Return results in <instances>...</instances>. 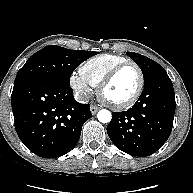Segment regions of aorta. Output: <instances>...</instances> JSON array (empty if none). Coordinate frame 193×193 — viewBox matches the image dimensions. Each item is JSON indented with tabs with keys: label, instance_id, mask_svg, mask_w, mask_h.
<instances>
[{
	"label": "aorta",
	"instance_id": "1",
	"mask_svg": "<svg viewBox=\"0 0 193 193\" xmlns=\"http://www.w3.org/2000/svg\"><path fill=\"white\" fill-rule=\"evenodd\" d=\"M97 118L101 123H109L111 121L112 115L109 110L102 109L98 112Z\"/></svg>",
	"mask_w": 193,
	"mask_h": 193
}]
</instances>
